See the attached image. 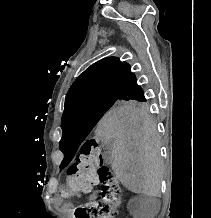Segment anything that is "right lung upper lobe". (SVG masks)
Segmentation results:
<instances>
[{"mask_svg": "<svg viewBox=\"0 0 211 218\" xmlns=\"http://www.w3.org/2000/svg\"><path fill=\"white\" fill-rule=\"evenodd\" d=\"M134 78L129 64L116 57L104 58L75 80L67 93L64 110L93 99H125L121 94Z\"/></svg>", "mask_w": 211, "mask_h": 218, "instance_id": "obj_1", "label": "right lung upper lobe"}]
</instances>
